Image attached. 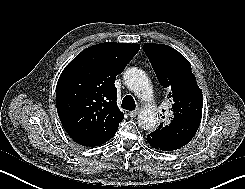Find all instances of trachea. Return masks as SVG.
<instances>
[{
    "label": "trachea",
    "instance_id": "1",
    "mask_svg": "<svg viewBox=\"0 0 245 189\" xmlns=\"http://www.w3.org/2000/svg\"><path fill=\"white\" fill-rule=\"evenodd\" d=\"M121 107L125 110L133 111L136 108L135 101L131 95H127L123 98Z\"/></svg>",
    "mask_w": 245,
    "mask_h": 189
}]
</instances>
